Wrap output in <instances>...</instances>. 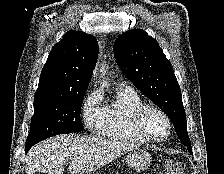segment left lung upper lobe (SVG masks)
Wrapping results in <instances>:
<instances>
[{
	"label": "left lung upper lobe",
	"instance_id": "5c2ea615",
	"mask_svg": "<svg viewBox=\"0 0 224 174\" xmlns=\"http://www.w3.org/2000/svg\"><path fill=\"white\" fill-rule=\"evenodd\" d=\"M113 50L122 72L170 118L192 153L180 87L158 43L144 31L132 30L115 40Z\"/></svg>",
	"mask_w": 224,
	"mask_h": 174
}]
</instances>
